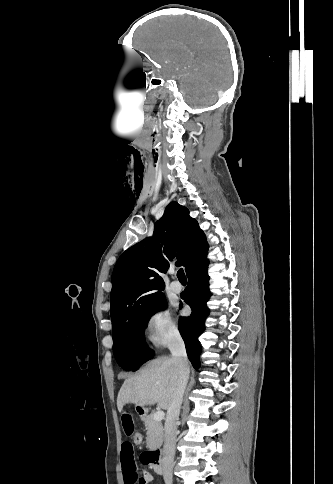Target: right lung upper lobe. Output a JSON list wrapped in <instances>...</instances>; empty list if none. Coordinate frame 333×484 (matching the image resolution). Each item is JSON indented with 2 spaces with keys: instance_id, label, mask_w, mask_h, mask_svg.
<instances>
[{
  "instance_id": "right-lung-upper-lobe-1",
  "label": "right lung upper lobe",
  "mask_w": 333,
  "mask_h": 484,
  "mask_svg": "<svg viewBox=\"0 0 333 484\" xmlns=\"http://www.w3.org/2000/svg\"><path fill=\"white\" fill-rule=\"evenodd\" d=\"M208 244L198 222L177 202H171L155 223L152 237L127 249L112 274L110 313L112 334L137 310L164 296L163 273L174 258L188 274L207 258Z\"/></svg>"
}]
</instances>
